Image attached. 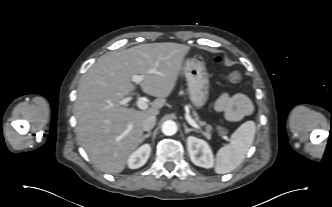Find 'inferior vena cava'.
Instances as JSON below:
<instances>
[{
  "label": "inferior vena cava",
  "mask_w": 332,
  "mask_h": 207,
  "mask_svg": "<svg viewBox=\"0 0 332 207\" xmlns=\"http://www.w3.org/2000/svg\"><path fill=\"white\" fill-rule=\"evenodd\" d=\"M156 123V117L154 115H151L147 117L142 124V128L144 131H150Z\"/></svg>",
  "instance_id": "602c4592"
}]
</instances>
